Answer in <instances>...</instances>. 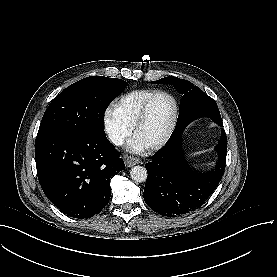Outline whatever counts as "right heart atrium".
<instances>
[{
    "instance_id": "right-heart-atrium-1",
    "label": "right heart atrium",
    "mask_w": 277,
    "mask_h": 277,
    "mask_svg": "<svg viewBox=\"0 0 277 277\" xmlns=\"http://www.w3.org/2000/svg\"><path fill=\"white\" fill-rule=\"evenodd\" d=\"M102 123L104 130L115 143L123 141L131 132L130 124L117 117L112 107L106 108L103 112Z\"/></svg>"
}]
</instances>
